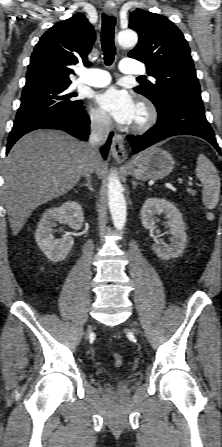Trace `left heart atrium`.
<instances>
[{"instance_id":"obj_1","label":"left heart atrium","mask_w":222,"mask_h":447,"mask_svg":"<svg viewBox=\"0 0 222 447\" xmlns=\"http://www.w3.org/2000/svg\"><path fill=\"white\" fill-rule=\"evenodd\" d=\"M96 100L99 108L119 124L129 125L135 121L137 106L127 91L111 87L100 93Z\"/></svg>"}]
</instances>
